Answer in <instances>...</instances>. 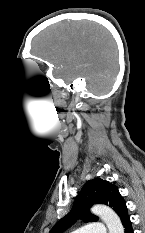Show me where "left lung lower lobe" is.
Here are the masks:
<instances>
[{"instance_id":"1","label":"left lung lower lobe","mask_w":145,"mask_h":233,"mask_svg":"<svg viewBox=\"0 0 145 233\" xmlns=\"http://www.w3.org/2000/svg\"><path fill=\"white\" fill-rule=\"evenodd\" d=\"M124 232L125 233H133V228H132V224L131 221H127L126 224L124 225Z\"/></svg>"}]
</instances>
